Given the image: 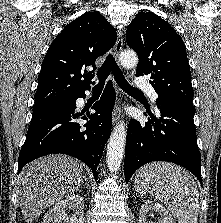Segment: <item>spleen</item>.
<instances>
[{
    "mask_svg": "<svg viewBox=\"0 0 221 223\" xmlns=\"http://www.w3.org/2000/svg\"><path fill=\"white\" fill-rule=\"evenodd\" d=\"M134 187L137 192H149L162 201L178 223H197L199 193L185 169L167 162L147 164L138 171Z\"/></svg>",
    "mask_w": 221,
    "mask_h": 223,
    "instance_id": "spleen-1",
    "label": "spleen"
}]
</instances>
